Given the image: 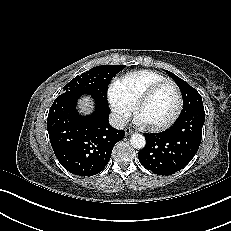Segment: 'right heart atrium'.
Masks as SVG:
<instances>
[{"label": "right heart atrium", "mask_w": 231, "mask_h": 231, "mask_svg": "<svg viewBox=\"0 0 231 231\" xmlns=\"http://www.w3.org/2000/svg\"><path fill=\"white\" fill-rule=\"evenodd\" d=\"M117 85L114 88L110 89L108 96H109V103L111 105L112 113L115 120L119 123H122L129 117L130 109L121 100L117 90Z\"/></svg>", "instance_id": "1"}]
</instances>
